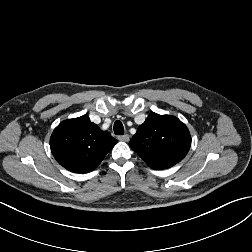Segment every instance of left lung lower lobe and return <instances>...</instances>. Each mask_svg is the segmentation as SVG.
<instances>
[{"label":"left lung lower lobe","instance_id":"obj_1","mask_svg":"<svg viewBox=\"0 0 252 252\" xmlns=\"http://www.w3.org/2000/svg\"><path fill=\"white\" fill-rule=\"evenodd\" d=\"M173 165H163V166H160L158 167L157 169L160 170V169H166V168H170L172 167Z\"/></svg>","mask_w":252,"mask_h":252}]
</instances>
